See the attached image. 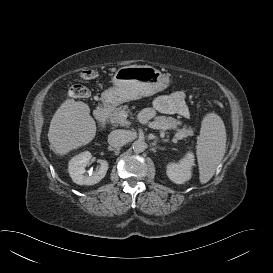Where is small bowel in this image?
Here are the masks:
<instances>
[{
	"label": "small bowel",
	"instance_id": "c3829d8e",
	"mask_svg": "<svg viewBox=\"0 0 273 273\" xmlns=\"http://www.w3.org/2000/svg\"><path fill=\"white\" fill-rule=\"evenodd\" d=\"M153 107L161 113L175 114L185 118L189 116L186 95L183 92L159 96L154 100Z\"/></svg>",
	"mask_w": 273,
	"mask_h": 273
}]
</instances>
